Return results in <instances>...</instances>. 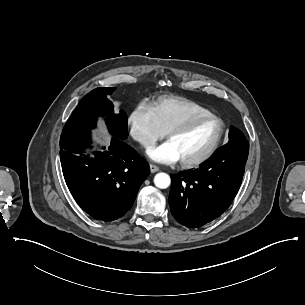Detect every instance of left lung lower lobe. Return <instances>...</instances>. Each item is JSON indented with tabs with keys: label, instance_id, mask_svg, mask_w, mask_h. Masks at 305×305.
Here are the masks:
<instances>
[{
	"label": "left lung lower lobe",
	"instance_id": "left-lung-lower-lobe-1",
	"mask_svg": "<svg viewBox=\"0 0 305 305\" xmlns=\"http://www.w3.org/2000/svg\"><path fill=\"white\" fill-rule=\"evenodd\" d=\"M248 152V141L226 144L198 169L171 175L169 205L174 218L197 228L219 217L240 188Z\"/></svg>",
	"mask_w": 305,
	"mask_h": 305
}]
</instances>
